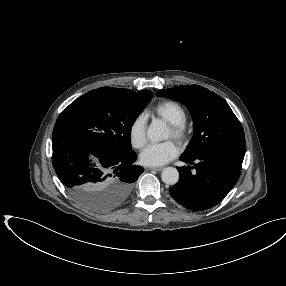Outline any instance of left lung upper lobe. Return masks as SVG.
I'll list each match as a JSON object with an SVG mask.
<instances>
[{
    "mask_svg": "<svg viewBox=\"0 0 286 286\" xmlns=\"http://www.w3.org/2000/svg\"><path fill=\"white\" fill-rule=\"evenodd\" d=\"M184 104L194 123V135L183 154L195 157L208 151L245 154V135L241 123L228 103L219 95L199 86H178L157 92Z\"/></svg>",
    "mask_w": 286,
    "mask_h": 286,
    "instance_id": "1",
    "label": "left lung upper lobe"
}]
</instances>
